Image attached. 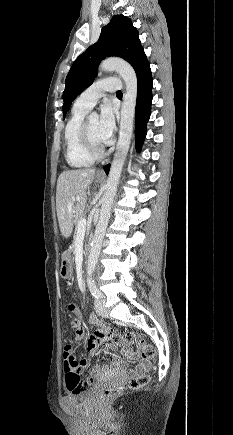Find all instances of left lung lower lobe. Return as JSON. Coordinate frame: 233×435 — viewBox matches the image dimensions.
Wrapping results in <instances>:
<instances>
[{
  "instance_id": "1",
  "label": "left lung lower lobe",
  "mask_w": 233,
  "mask_h": 435,
  "mask_svg": "<svg viewBox=\"0 0 233 435\" xmlns=\"http://www.w3.org/2000/svg\"><path fill=\"white\" fill-rule=\"evenodd\" d=\"M137 102H136V120H135V136L136 149L140 151L144 142L147 129L146 124L149 120L152 104V84L150 65H146L137 74ZM110 165H106L104 170L108 174Z\"/></svg>"
}]
</instances>
